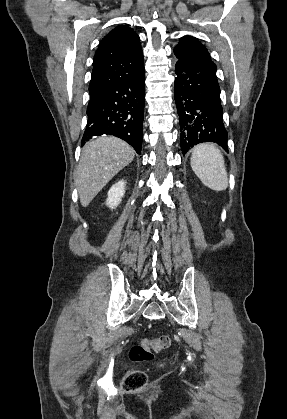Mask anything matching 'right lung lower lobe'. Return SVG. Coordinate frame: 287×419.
<instances>
[{
  "label": "right lung lower lobe",
  "mask_w": 287,
  "mask_h": 419,
  "mask_svg": "<svg viewBox=\"0 0 287 419\" xmlns=\"http://www.w3.org/2000/svg\"><path fill=\"white\" fill-rule=\"evenodd\" d=\"M144 100V67L131 77L90 94L82 145L93 137L113 135L141 154Z\"/></svg>",
  "instance_id": "obj_1"
}]
</instances>
